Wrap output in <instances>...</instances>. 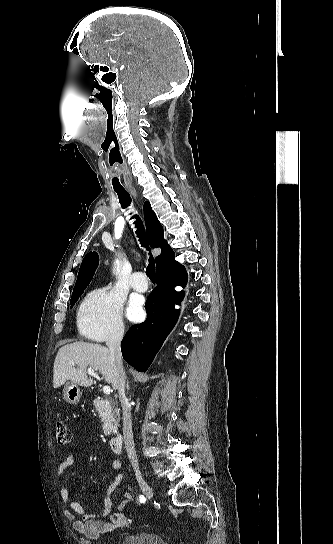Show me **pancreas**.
<instances>
[{
	"label": "pancreas",
	"instance_id": "pancreas-1",
	"mask_svg": "<svg viewBox=\"0 0 333 544\" xmlns=\"http://www.w3.org/2000/svg\"><path fill=\"white\" fill-rule=\"evenodd\" d=\"M93 404L99 414V417L101 418V422L103 423L102 428L104 434L110 435L111 433H114L117 429V418L119 415L116 404L104 399H96L94 400Z\"/></svg>",
	"mask_w": 333,
	"mask_h": 544
}]
</instances>
